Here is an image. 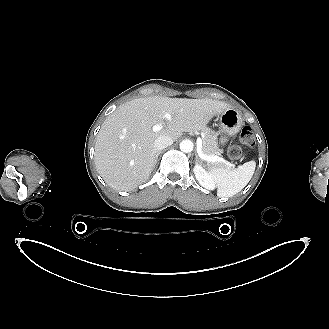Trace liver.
Segmentation results:
<instances>
[{"label":"liver","mask_w":329,"mask_h":329,"mask_svg":"<svg viewBox=\"0 0 329 329\" xmlns=\"http://www.w3.org/2000/svg\"><path fill=\"white\" fill-rule=\"evenodd\" d=\"M231 108L213 99L153 96L126 102L103 122L95 144V166L104 181L115 190L131 191L146 182L155 167L154 141L159 136L177 140L183 132L205 128L213 116ZM165 113L171 115L167 127Z\"/></svg>","instance_id":"1"}]
</instances>
